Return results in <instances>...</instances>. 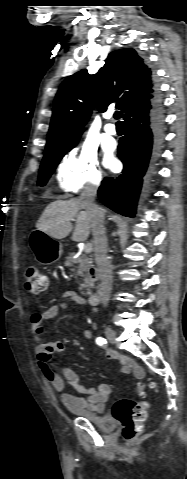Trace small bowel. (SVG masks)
<instances>
[{
  "instance_id": "obj_1",
  "label": "small bowel",
  "mask_w": 187,
  "mask_h": 479,
  "mask_svg": "<svg viewBox=\"0 0 187 479\" xmlns=\"http://www.w3.org/2000/svg\"><path fill=\"white\" fill-rule=\"evenodd\" d=\"M63 301L54 304L44 311L36 312L31 317V328L33 337L37 343V363L44 379L59 392L63 405L71 410H87L95 413H103L106 408V401L110 395V387L107 384H100L97 387H85L80 384L78 374L70 367L62 369L63 377L70 384L77 394H71L65 391V380L57 372H55L50 362L52 357L63 351L65 345L61 342L43 343L42 330L47 320L55 318L61 310L75 308V305H85L86 300L75 291H66L63 294ZM83 336L89 339L92 332L89 328L84 330ZM105 356L111 362H117L122 365V370L126 373H132L139 381L144 377L143 369L133 360L124 355L115 353L109 349H105ZM140 396H144V392L138 390Z\"/></svg>"
}]
</instances>
